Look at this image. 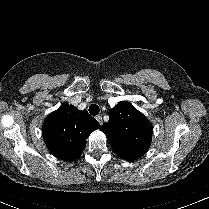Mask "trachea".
<instances>
[{"label": "trachea", "instance_id": "trachea-1", "mask_svg": "<svg viewBox=\"0 0 209 209\" xmlns=\"http://www.w3.org/2000/svg\"><path fill=\"white\" fill-rule=\"evenodd\" d=\"M100 109L99 106L96 104H92L89 107V113L93 116H96L99 113Z\"/></svg>", "mask_w": 209, "mask_h": 209}]
</instances>
